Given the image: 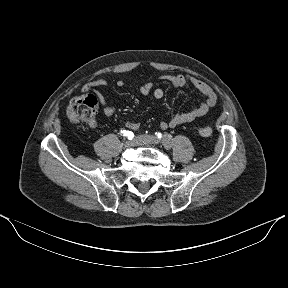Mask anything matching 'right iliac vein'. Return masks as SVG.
<instances>
[{
    "mask_svg": "<svg viewBox=\"0 0 288 288\" xmlns=\"http://www.w3.org/2000/svg\"><path fill=\"white\" fill-rule=\"evenodd\" d=\"M133 142L131 141H125L124 142V147H128V146H131Z\"/></svg>",
    "mask_w": 288,
    "mask_h": 288,
    "instance_id": "63e3f726",
    "label": "right iliac vein"
}]
</instances>
